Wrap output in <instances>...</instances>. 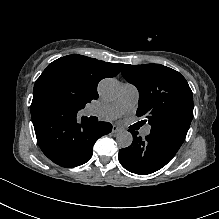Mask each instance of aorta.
Returning a JSON list of instances; mask_svg holds the SVG:
<instances>
[{"label":"aorta","instance_id":"obj_1","mask_svg":"<svg viewBox=\"0 0 219 219\" xmlns=\"http://www.w3.org/2000/svg\"><path fill=\"white\" fill-rule=\"evenodd\" d=\"M98 91L102 98L106 100H114L120 92V84L114 78L103 79L98 86ZM133 137L128 131H120L116 135V142L120 148H127L132 144Z\"/></svg>","mask_w":219,"mask_h":219}]
</instances>
